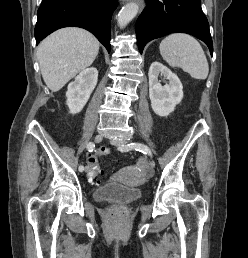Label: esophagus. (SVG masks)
<instances>
[{"instance_id":"34e87169","label":"esophagus","mask_w":248,"mask_h":258,"mask_svg":"<svg viewBox=\"0 0 248 258\" xmlns=\"http://www.w3.org/2000/svg\"><path fill=\"white\" fill-rule=\"evenodd\" d=\"M123 1H128V0H123ZM138 4H139L140 9H143V8H144V2H143V0H138Z\"/></svg>"}]
</instances>
